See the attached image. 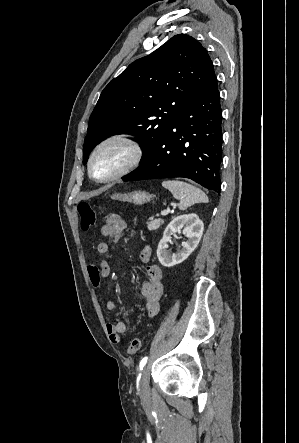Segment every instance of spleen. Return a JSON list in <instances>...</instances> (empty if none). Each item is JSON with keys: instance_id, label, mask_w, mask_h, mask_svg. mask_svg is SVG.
I'll use <instances>...</instances> for the list:
<instances>
[{"instance_id": "spleen-1", "label": "spleen", "mask_w": 299, "mask_h": 443, "mask_svg": "<svg viewBox=\"0 0 299 443\" xmlns=\"http://www.w3.org/2000/svg\"><path fill=\"white\" fill-rule=\"evenodd\" d=\"M162 186L167 188L174 198L179 200L178 207L185 210L196 203H208L207 195L199 188L178 180H166Z\"/></svg>"}]
</instances>
